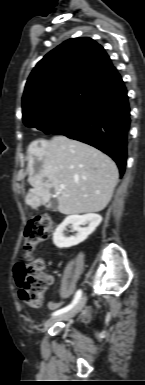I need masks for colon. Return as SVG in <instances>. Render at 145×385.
Here are the masks:
<instances>
[{"instance_id":"1","label":"colon","mask_w":145,"mask_h":385,"mask_svg":"<svg viewBox=\"0 0 145 385\" xmlns=\"http://www.w3.org/2000/svg\"><path fill=\"white\" fill-rule=\"evenodd\" d=\"M52 227L49 216H38L32 219L23 235V246L27 252L26 262L15 268V281L19 296L23 302L33 308L41 306L44 295L50 286L49 276L44 273V263L32 257L35 246L46 240Z\"/></svg>"}]
</instances>
